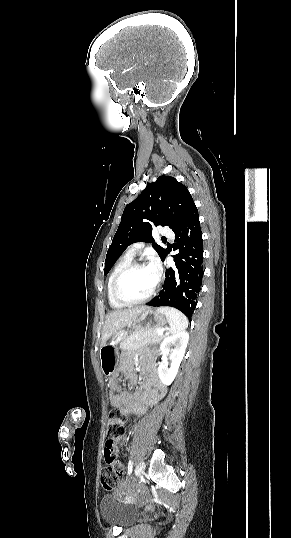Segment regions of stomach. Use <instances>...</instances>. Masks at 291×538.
<instances>
[{"instance_id":"0dacf381","label":"stomach","mask_w":291,"mask_h":538,"mask_svg":"<svg viewBox=\"0 0 291 538\" xmlns=\"http://www.w3.org/2000/svg\"><path fill=\"white\" fill-rule=\"evenodd\" d=\"M168 322L167 317L157 310L143 311L130 327L123 328L113 335L110 342L100 348L101 371L106 378L115 375L118 365V344L129 334L140 330H157Z\"/></svg>"}]
</instances>
